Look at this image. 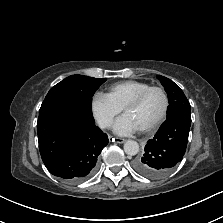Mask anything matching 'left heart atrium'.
Returning <instances> with one entry per match:
<instances>
[{
  "label": "left heart atrium",
  "instance_id": "obj_1",
  "mask_svg": "<svg viewBox=\"0 0 223 223\" xmlns=\"http://www.w3.org/2000/svg\"><path fill=\"white\" fill-rule=\"evenodd\" d=\"M138 130L137 125L126 114L118 118L113 125V131L118 135H131Z\"/></svg>",
  "mask_w": 223,
  "mask_h": 223
}]
</instances>
